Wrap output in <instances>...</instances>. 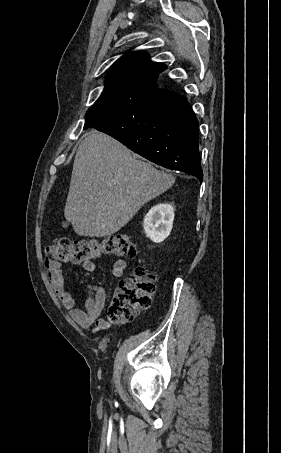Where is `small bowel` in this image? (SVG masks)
Here are the masks:
<instances>
[{"mask_svg":"<svg viewBox=\"0 0 281 453\" xmlns=\"http://www.w3.org/2000/svg\"><path fill=\"white\" fill-rule=\"evenodd\" d=\"M45 268L51 281L52 287L56 291L62 303L69 310L72 317L83 329H89L94 325L92 334L107 329L110 323L102 318V311L105 306L106 290L103 286L92 283L86 287L87 297L84 309L76 306L72 295L66 290L64 279L60 270L59 260L55 258L47 259ZM127 268V262L124 259H117L114 263V275L116 278H122ZM89 271H94L96 266L90 262L87 264Z\"/></svg>","mask_w":281,"mask_h":453,"instance_id":"small-bowel-1","label":"small bowel"}]
</instances>
